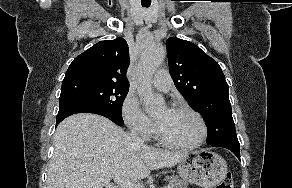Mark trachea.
Here are the masks:
<instances>
[{
	"mask_svg": "<svg viewBox=\"0 0 292 188\" xmlns=\"http://www.w3.org/2000/svg\"><path fill=\"white\" fill-rule=\"evenodd\" d=\"M141 4H142V7L144 8H148L151 5V3H144V2H142Z\"/></svg>",
	"mask_w": 292,
	"mask_h": 188,
	"instance_id": "3493384b",
	"label": "trachea"
}]
</instances>
